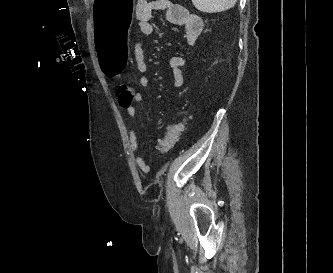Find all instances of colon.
<instances>
[{"instance_id": "obj_1", "label": "colon", "mask_w": 333, "mask_h": 273, "mask_svg": "<svg viewBox=\"0 0 333 273\" xmlns=\"http://www.w3.org/2000/svg\"><path fill=\"white\" fill-rule=\"evenodd\" d=\"M134 101L133 89L128 84H121L118 87V103L121 108L127 109ZM185 127L184 122H178L168 127L165 135L158 141L157 150L160 154L168 153L178 141Z\"/></svg>"}]
</instances>
